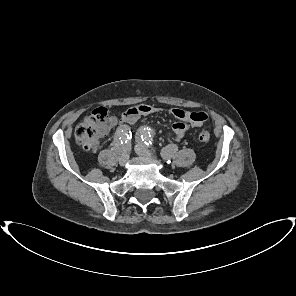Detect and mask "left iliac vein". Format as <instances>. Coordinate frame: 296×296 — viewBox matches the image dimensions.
<instances>
[{
    "instance_id": "obj_1",
    "label": "left iliac vein",
    "mask_w": 296,
    "mask_h": 296,
    "mask_svg": "<svg viewBox=\"0 0 296 296\" xmlns=\"http://www.w3.org/2000/svg\"><path fill=\"white\" fill-rule=\"evenodd\" d=\"M135 151L138 155L149 158V159H154L153 155L151 152L145 147V145L141 142H139L135 146Z\"/></svg>"
}]
</instances>
